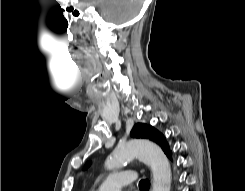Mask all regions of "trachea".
I'll use <instances>...</instances> for the list:
<instances>
[{"mask_svg":"<svg viewBox=\"0 0 245 191\" xmlns=\"http://www.w3.org/2000/svg\"><path fill=\"white\" fill-rule=\"evenodd\" d=\"M150 187V182L147 179L141 180L139 182V188L141 191H147Z\"/></svg>","mask_w":245,"mask_h":191,"instance_id":"trachea-1","label":"trachea"}]
</instances>
